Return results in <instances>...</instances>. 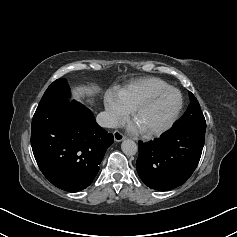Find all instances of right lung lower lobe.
Returning <instances> with one entry per match:
<instances>
[{"label":"right lung lower lobe","mask_w":237,"mask_h":237,"mask_svg":"<svg viewBox=\"0 0 237 237\" xmlns=\"http://www.w3.org/2000/svg\"><path fill=\"white\" fill-rule=\"evenodd\" d=\"M68 94L65 79L54 81L45 91L33 116L31 145L44 176L62 190L77 192L96 176L113 135L85 106L69 103Z\"/></svg>","instance_id":"obj_1"}]
</instances>
